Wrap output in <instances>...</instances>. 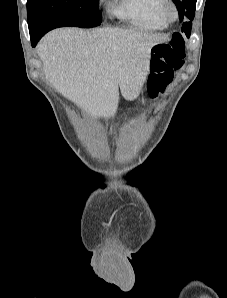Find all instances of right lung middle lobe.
<instances>
[{
  "label": "right lung middle lobe",
  "instance_id": "right-lung-middle-lobe-1",
  "mask_svg": "<svg viewBox=\"0 0 227 298\" xmlns=\"http://www.w3.org/2000/svg\"><path fill=\"white\" fill-rule=\"evenodd\" d=\"M30 34L57 27H95L101 24L98 0H27Z\"/></svg>",
  "mask_w": 227,
  "mask_h": 298
}]
</instances>
